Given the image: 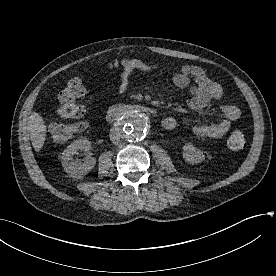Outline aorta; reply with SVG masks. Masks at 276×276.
I'll use <instances>...</instances> for the list:
<instances>
[{"label":"aorta","instance_id":"1","mask_svg":"<svg viewBox=\"0 0 276 276\" xmlns=\"http://www.w3.org/2000/svg\"><path fill=\"white\" fill-rule=\"evenodd\" d=\"M119 128L128 141H140L146 136V117L138 109H128L119 121Z\"/></svg>","mask_w":276,"mask_h":276}]
</instances>
